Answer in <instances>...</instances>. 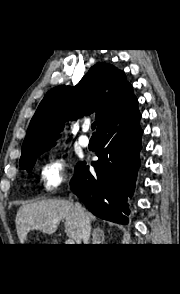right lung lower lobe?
Instances as JSON below:
<instances>
[{"instance_id": "1", "label": "right lung lower lobe", "mask_w": 180, "mask_h": 294, "mask_svg": "<svg viewBox=\"0 0 180 294\" xmlns=\"http://www.w3.org/2000/svg\"><path fill=\"white\" fill-rule=\"evenodd\" d=\"M138 100L134 98L121 111L100 126L98 161L92 162L96 174L81 163L72 178L71 188L94 215L126 224L127 198L132 197L140 166L142 129Z\"/></svg>"}]
</instances>
